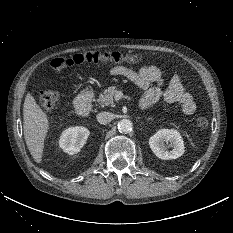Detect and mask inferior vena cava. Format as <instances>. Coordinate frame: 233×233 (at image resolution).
<instances>
[{
	"mask_svg": "<svg viewBox=\"0 0 233 233\" xmlns=\"http://www.w3.org/2000/svg\"><path fill=\"white\" fill-rule=\"evenodd\" d=\"M96 118L100 124H108L112 121L113 115L110 112L104 111V112L98 113Z\"/></svg>",
	"mask_w": 233,
	"mask_h": 233,
	"instance_id": "1",
	"label": "inferior vena cava"
}]
</instances>
